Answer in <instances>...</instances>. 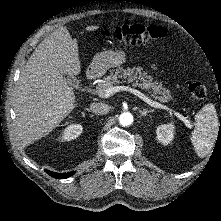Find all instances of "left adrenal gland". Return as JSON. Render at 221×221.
I'll list each match as a JSON object with an SVG mask.
<instances>
[{"label":"left adrenal gland","instance_id":"obj_1","mask_svg":"<svg viewBox=\"0 0 221 221\" xmlns=\"http://www.w3.org/2000/svg\"><path fill=\"white\" fill-rule=\"evenodd\" d=\"M153 111H154L153 109H151V110H148V109H143V110H141V109H139V112H140V114H141L142 116H146L147 113H151V112H153Z\"/></svg>","mask_w":221,"mask_h":221}]
</instances>
